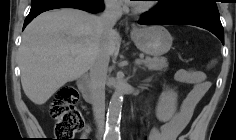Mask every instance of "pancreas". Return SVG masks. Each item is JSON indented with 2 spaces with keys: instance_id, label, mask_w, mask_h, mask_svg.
I'll return each instance as SVG.
<instances>
[{
  "instance_id": "pancreas-1",
  "label": "pancreas",
  "mask_w": 236,
  "mask_h": 140,
  "mask_svg": "<svg viewBox=\"0 0 236 140\" xmlns=\"http://www.w3.org/2000/svg\"><path fill=\"white\" fill-rule=\"evenodd\" d=\"M142 63L149 70L161 71L166 70L168 67L167 59L165 57H146Z\"/></svg>"
}]
</instances>
